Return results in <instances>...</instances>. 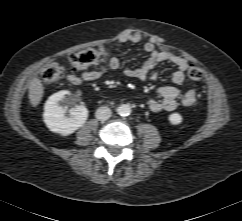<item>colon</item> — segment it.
Instances as JSON below:
<instances>
[{
  "label": "colon",
  "mask_w": 242,
  "mask_h": 221,
  "mask_svg": "<svg viewBox=\"0 0 242 221\" xmlns=\"http://www.w3.org/2000/svg\"><path fill=\"white\" fill-rule=\"evenodd\" d=\"M110 52L105 46L98 48L86 49L69 55L70 64L77 70L83 69L104 59ZM187 76L192 82H199L203 73L196 65H190L187 68ZM64 77V69L58 62H52L47 65L41 73V82L44 87H50Z\"/></svg>",
  "instance_id": "5ec220e1"
}]
</instances>
